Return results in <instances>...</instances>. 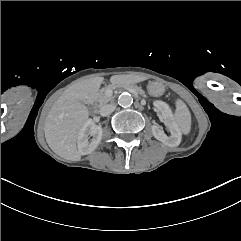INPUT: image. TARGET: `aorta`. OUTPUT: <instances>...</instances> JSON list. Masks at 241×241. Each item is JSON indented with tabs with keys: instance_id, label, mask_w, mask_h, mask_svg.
Here are the masks:
<instances>
[{
	"instance_id": "aorta-1",
	"label": "aorta",
	"mask_w": 241,
	"mask_h": 241,
	"mask_svg": "<svg viewBox=\"0 0 241 241\" xmlns=\"http://www.w3.org/2000/svg\"><path fill=\"white\" fill-rule=\"evenodd\" d=\"M133 103V97L130 93L124 92L118 97V104L122 107H129Z\"/></svg>"
}]
</instances>
